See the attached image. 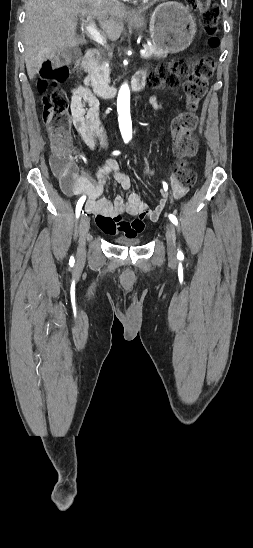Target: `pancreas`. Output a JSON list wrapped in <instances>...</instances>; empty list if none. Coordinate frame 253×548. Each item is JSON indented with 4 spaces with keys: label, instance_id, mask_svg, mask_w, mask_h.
Returning a JSON list of instances; mask_svg holds the SVG:
<instances>
[{
    "label": "pancreas",
    "instance_id": "obj_1",
    "mask_svg": "<svg viewBox=\"0 0 253 548\" xmlns=\"http://www.w3.org/2000/svg\"><path fill=\"white\" fill-rule=\"evenodd\" d=\"M147 53L144 56L145 59L162 58L167 56V51L152 45H145ZM85 71L88 73L86 81L90 83V86L95 90H99L101 87H107L110 83V68L108 60L97 58L89 61L85 65Z\"/></svg>",
    "mask_w": 253,
    "mask_h": 548
}]
</instances>
